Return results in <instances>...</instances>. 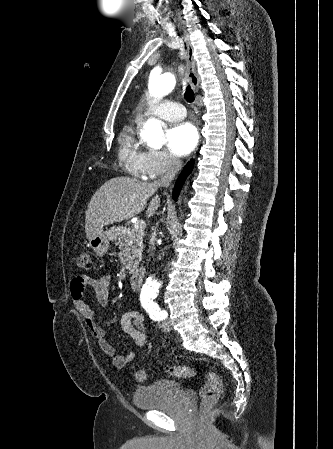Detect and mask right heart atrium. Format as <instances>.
Returning a JSON list of instances; mask_svg holds the SVG:
<instances>
[{"mask_svg":"<svg viewBox=\"0 0 333 449\" xmlns=\"http://www.w3.org/2000/svg\"><path fill=\"white\" fill-rule=\"evenodd\" d=\"M140 164L143 176L149 179L158 178L175 172L179 161L165 150L149 149L142 153Z\"/></svg>","mask_w":333,"mask_h":449,"instance_id":"obj_1","label":"right heart atrium"}]
</instances>
